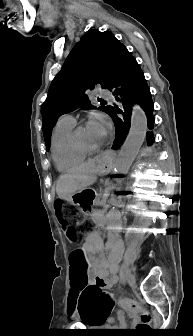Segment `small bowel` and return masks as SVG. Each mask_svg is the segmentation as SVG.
<instances>
[{"mask_svg":"<svg viewBox=\"0 0 193 336\" xmlns=\"http://www.w3.org/2000/svg\"><path fill=\"white\" fill-rule=\"evenodd\" d=\"M96 221L103 222V215H98ZM108 250V253L105 252ZM84 262L93 270L97 281L110 289L117 282L118 264L122 255V243L120 240H109L105 245L101 234L98 231L90 232L86 235L84 243L80 249ZM88 279V277H87ZM77 290L72 287L70 290V299L74 301ZM124 305L125 300L119 301ZM123 315L119 314V320H123ZM112 321L109 320L110 324Z\"/></svg>","mask_w":193,"mask_h":336,"instance_id":"obj_1","label":"small bowel"}]
</instances>
